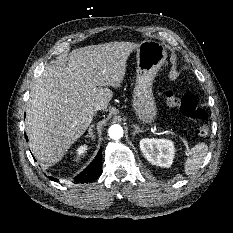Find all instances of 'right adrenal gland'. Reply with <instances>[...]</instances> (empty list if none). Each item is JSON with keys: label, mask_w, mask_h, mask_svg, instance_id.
Returning <instances> with one entry per match:
<instances>
[{"label": "right adrenal gland", "mask_w": 233, "mask_h": 233, "mask_svg": "<svg viewBox=\"0 0 233 233\" xmlns=\"http://www.w3.org/2000/svg\"><path fill=\"white\" fill-rule=\"evenodd\" d=\"M93 127H94V125H91V126L89 127V130H88V134H89V135L86 136V137H91L92 140L95 138V136H94V134H93Z\"/></svg>", "instance_id": "2a0ac1e0"}]
</instances>
